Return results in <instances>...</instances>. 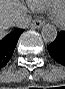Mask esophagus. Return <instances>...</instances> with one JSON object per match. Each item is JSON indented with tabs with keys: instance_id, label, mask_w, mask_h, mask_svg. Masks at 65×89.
I'll use <instances>...</instances> for the list:
<instances>
[{
	"instance_id": "esophagus-1",
	"label": "esophagus",
	"mask_w": 65,
	"mask_h": 89,
	"mask_svg": "<svg viewBox=\"0 0 65 89\" xmlns=\"http://www.w3.org/2000/svg\"><path fill=\"white\" fill-rule=\"evenodd\" d=\"M44 25V22L39 20V19H35L32 21L31 23V27L32 28H36V29H39L41 28L42 26Z\"/></svg>"
}]
</instances>
